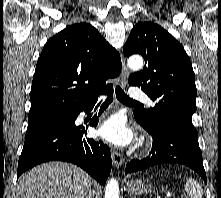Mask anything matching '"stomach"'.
Masks as SVG:
<instances>
[{
	"instance_id": "0dacf381",
	"label": "stomach",
	"mask_w": 221,
	"mask_h": 198,
	"mask_svg": "<svg viewBox=\"0 0 221 198\" xmlns=\"http://www.w3.org/2000/svg\"><path fill=\"white\" fill-rule=\"evenodd\" d=\"M127 186L128 191L134 195H140L150 192V189L146 187L144 182H142L140 179L129 182Z\"/></svg>"
}]
</instances>
